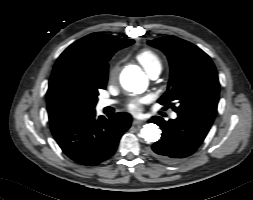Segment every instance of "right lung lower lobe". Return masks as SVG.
I'll return each instance as SVG.
<instances>
[{
	"label": "right lung lower lobe",
	"instance_id": "98d812e1",
	"mask_svg": "<svg viewBox=\"0 0 253 200\" xmlns=\"http://www.w3.org/2000/svg\"><path fill=\"white\" fill-rule=\"evenodd\" d=\"M131 117L121 112L109 119L96 116L95 110L50 124L52 134L62 151L73 161L95 166L110 158Z\"/></svg>",
	"mask_w": 253,
	"mask_h": 200
}]
</instances>
